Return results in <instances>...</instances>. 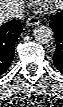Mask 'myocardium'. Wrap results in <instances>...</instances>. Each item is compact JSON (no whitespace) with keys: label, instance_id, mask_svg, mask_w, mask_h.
<instances>
[{"label":"myocardium","instance_id":"f54148a6","mask_svg":"<svg viewBox=\"0 0 63 107\" xmlns=\"http://www.w3.org/2000/svg\"><path fill=\"white\" fill-rule=\"evenodd\" d=\"M40 7L47 11H54L63 4L62 0H37Z\"/></svg>","mask_w":63,"mask_h":107}]
</instances>
